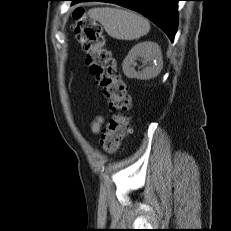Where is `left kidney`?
<instances>
[{"label": "left kidney", "instance_id": "5707ae66", "mask_svg": "<svg viewBox=\"0 0 231 231\" xmlns=\"http://www.w3.org/2000/svg\"><path fill=\"white\" fill-rule=\"evenodd\" d=\"M141 57L147 64L142 71H135L133 65ZM163 66L161 49L157 43L145 41L136 44L125 57L122 69L126 77L148 80L156 77Z\"/></svg>", "mask_w": 231, "mask_h": 231}]
</instances>
